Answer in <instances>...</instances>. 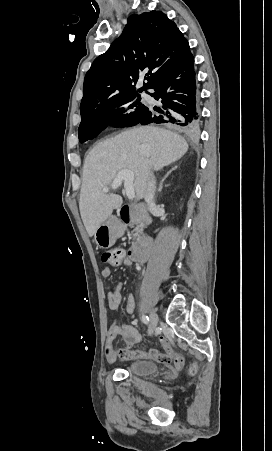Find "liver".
I'll list each match as a JSON object with an SVG mask.
<instances>
[{
    "label": "liver",
    "instance_id": "1",
    "mask_svg": "<svg viewBox=\"0 0 272 451\" xmlns=\"http://www.w3.org/2000/svg\"><path fill=\"white\" fill-rule=\"evenodd\" d=\"M189 146L179 134L140 126L103 140L89 152L83 166L79 210L88 235H94L113 210L123 204L121 196L102 192L120 170L134 172L137 198H144L151 170H162L186 154Z\"/></svg>",
    "mask_w": 272,
    "mask_h": 451
}]
</instances>
